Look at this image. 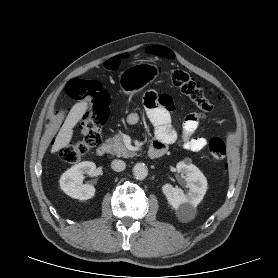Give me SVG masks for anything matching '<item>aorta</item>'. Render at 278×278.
<instances>
[{"instance_id": "762f6f07", "label": "aorta", "mask_w": 278, "mask_h": 278, "mask_svg": "<svg viewBox=\"0 0 278 278\" xmlns=\"http://www.w3.org/2000/svg\"><path fill=\"white\" fill-rule=\"evenodd\" d=\"M133 174L136 179L143 180L148 175V168L144 163H137L133 167Z\"/></svg>"}]
</instances>
